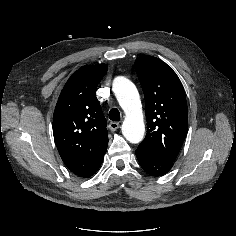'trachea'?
Wrapping results in <instances>:
<instances>
[{"mask_svg": "<svg viewBox=\"0 0 236 236\" xmlns=\"http://www.w3.org/2000/svg\"><path fill=\"white\" fill-rule=\"evenodd\" d=\"M109 119L112 121H120V112L117 108H112L109 111Z\"/></svg>", "mask_w": 236, "mask_h": 236, "instance_id": "obj_1", "label": "trachea"}]
</instances>
